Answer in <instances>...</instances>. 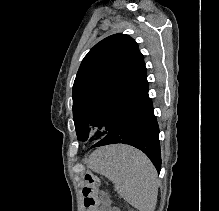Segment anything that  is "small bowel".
<instances>
[{
    "label": "small bowel",
    "mask_w": 219,
    "mask_h": 211,
    "mask_svg": "<svg viewBox=\"0 0 219 211\" xmlns=\"http://www.w3.org/2000/svg\"><path fill=\"white\" fill-rule=\"evenodd\" d=\"M97 211H112L111 209V203L108 198H104L101 202L100 207L97 209Z\"/></svg>",
    "instance_id": "small-bowel-1"
}]
</instances>
